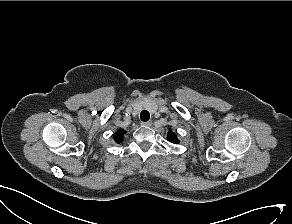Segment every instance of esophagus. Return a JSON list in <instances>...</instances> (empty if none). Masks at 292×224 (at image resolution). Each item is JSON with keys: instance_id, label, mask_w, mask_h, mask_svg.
I'll return each mask as SVG.
<instances>
[{"instance_id": "1", "label": "esophagus", "mask_w": 292, "mask_h": 224, "mask_svg": "<svg viewBox=\"0 0 292 224\" xmlns=\"http://www.w3.org/2000/svg\"><path fill=\"white\" fill-rule=\"evenodd\" d=\"M143 126H151L152 125V121H147V122H143L142 123Z\"/></svg>"}]
</instances>
